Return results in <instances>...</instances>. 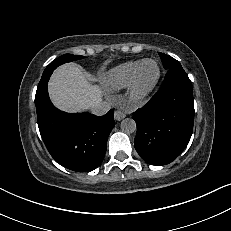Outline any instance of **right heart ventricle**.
<instances>
[{
    "label": "right heart ventricle",
    "instance_id": "obj_1",
    "mask_svg": "<svg viewBox=\"0 0 231 231\" xmlns=\"http://www.w3.org/2000/svg\"><path fill=\"white\" fill-rule=\"evenodd\" d=\"M141 61H128L112 68L103 77V85L112 91H117L128 86L134 70Z\"/></svg>",
    "mask_w": 231,
    "mask_h": 231
}]
</instances>
